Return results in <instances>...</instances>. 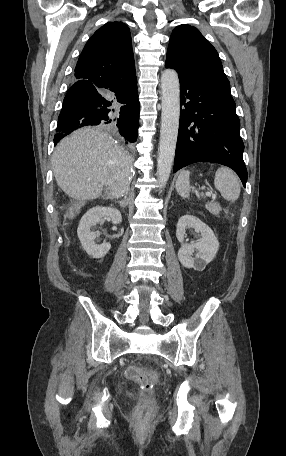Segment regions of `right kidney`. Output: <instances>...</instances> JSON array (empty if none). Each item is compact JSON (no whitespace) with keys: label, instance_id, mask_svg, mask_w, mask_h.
Listing matches in <instances>:
<instances>
[{"label":"right kidney","instance_id":"right-kidney-1","mask_svg":"<svg viewBox=\"0 0 286 456\" xmlns=\"http://www.w3.org/2000/svg\"><path fill=\"white\" fill-rule=\"evenodd\" d=\"M110 219L113 224L122 222V215L119 210L113 207L96 206L88 210L80 220L77 234L83 249L93 258H103L110 250V243L98 245L95 239L99 236L97 232L91 231L92 226L103 224Z\"/></svg>","mask_w":286,"mask_h":456}]
</instances>
